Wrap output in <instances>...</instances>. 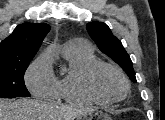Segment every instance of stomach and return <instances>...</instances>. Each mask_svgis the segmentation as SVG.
Wrapping results in <instances>:
<instances>
[{
    "mask_svg": "<svg viewBox=\"0 0 165 120\" xmlns=\"http://www.w3.org/2000/svg\"><path fill=\"white\" fill-rule=\"evenodd\" d=\"M94 117L102 118V120H112L108 114L101 111H89L83 115V120H92ZM79 119L82 120L81 117Z\"/></svg>",
    "mask_w": 165,
    "mask_h": 120,
    "instance_id": "obj_1",
    "label": "stomach"
}]
</instances>
